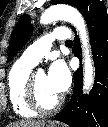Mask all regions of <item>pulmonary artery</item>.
I'll return each instance as SVG.
<instances>
[{"label":"pulmonary artery","instance_id":"e3ab8cb5","mask_svg":"<svg viewBox=\"0 0 108 127\" xmlns=\"http://www.w3.org/2000/svg\"><path fill=\"white\" fill-rule=\"evenodd\" d=\"M70 36V31L67 28H57L52 33L43 36L29 46L24 51L21 58L28 63L36 65L50 51L53 41H67L70 39Z\"/></svg>","mask_w":108,"mask_h":127}]
</instances>
